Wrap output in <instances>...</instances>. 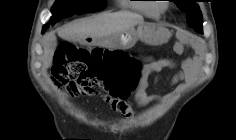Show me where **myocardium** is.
Wrapping results in <instances>:
<instances>
[{"label": "myocardium", "mask_w": 236, "mask_h": 140, "mask_svg": "<svg viewBox=\"0 0 236 140\" xmlns=\"http://www.w3.org/2000/svg\"><path fill=\"white\" fill-rule=\"evenodd\" d=\"M168 9V5H166V4H162V5H159L158 6V10L159 11H166Z\"/></svg>", "instance_id": "f54148a6"}]
</instances>
